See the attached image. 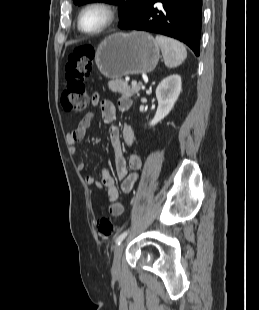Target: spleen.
<instances>
[{
	"label": "spleen",
	"instance_id": "obj_1",
	"mask_svg": "<svg viewBox=\"0 0 259 310\" xmlns=\"http://www.w3.org/2000/svg\"><path fill=\"white\" fill-rule=\"evenodd\" d=\"M156 42L161 48L166 67L168 68L178 67L186 59L187 57L186 48L179 41L162 35H157Z\"/></svg>",
	"mask_w": 259,
	"mask_h": 310
}]
</instances>
